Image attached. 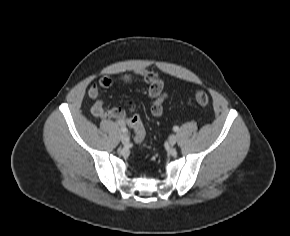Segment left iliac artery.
Returning a JSON list of instances; mask_svg holds the SVG:
<instances>
[{
	"mask_svg": "<svg viewBox=\"0 0 290 236\" xmlns=\"http://www.w3.org/2000/svg\"><path fill=\"white\" fill-rule=\"evenodd\" d=\"M173 130H174L175 132H177V131L179 130V127H178V126H174V127H173Z\"/></svg>",
	"mask_w": 290,
	"mask_h": 236,
	"instance_id": "44dca946",
	"label": "left iliac artery"
}]
</instances>
